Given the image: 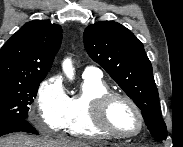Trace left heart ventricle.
Listing matches in <instances>:
<instances>
[{
	"label": "left heart ventricle",
	"mask_w": 183,
	"mask_h": 147,
	"mask_svg": "<svg viewBox=\"0 0 183 147\" xmlns=\"http://www.w3.org/2000/svg\"><path fill=\"white\" fill-rule=\"evenodd\" d=\"M108 119L117 131L133 134L139 130V119L134 109L124 100H114L108 108Z\"/></svg>",
	"instance_id": "obj_1"
}]
</instances>
